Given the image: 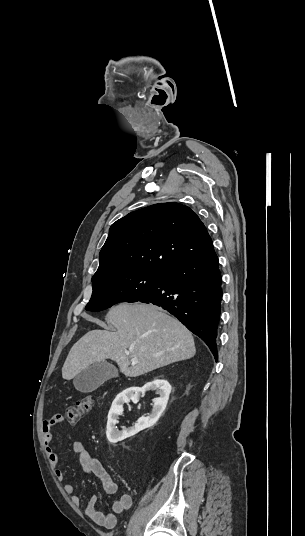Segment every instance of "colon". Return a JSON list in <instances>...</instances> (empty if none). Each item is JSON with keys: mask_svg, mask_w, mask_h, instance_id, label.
<instances>
[{"mask_svg": "<svg viewBox=\"0 0 305 536\" xmlns=\"http://www.w3.org/2000/svg\"><path fill=\"white\" fill-rule=\"evenodd\" d=\"M93 403L94 396L87 395L81 399H78L74 404L67 406L65 421L69 424L77 423L83 414L89 412L92 409Z\"/></svg>", "mask_w": 305, "mask_h": 536, "instance_id": "5ec220e1", "label": "colon"}]
</instances>
